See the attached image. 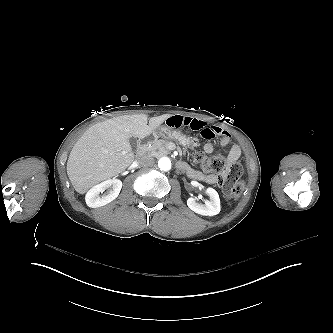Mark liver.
Returning a JSON list of instances; mask_svg holds the SVG:
<instances>
[{
  "instance_id": "1",
  "label": "liver",
  "mask_w": 333,
  "mask_h": 333,
  "mask_svg": "<svg viewBox=\"0 0 333 333\" xmlns=\"http://www.w3.org/2000/svg\"><path fill=\"white\" fill-rule=\"evenodd\" d=\"M172 114L151 117L146 114L114 117L89 127L70 151L66 171L79 194L125 171L134 161L131 138L150 136Z\"/></svg>"
}]
</instances>
